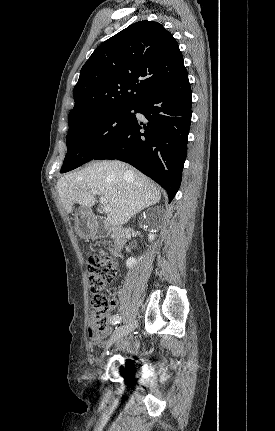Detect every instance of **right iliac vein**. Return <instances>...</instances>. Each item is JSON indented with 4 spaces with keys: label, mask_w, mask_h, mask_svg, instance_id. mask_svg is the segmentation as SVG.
Masks as SVG:
<instances>
[{
    "label": "right iliac vein",
    "mask_w": 275,
    "mask_h": 431,
    "mask_svg": "<svg viewBox=\"0 0 275 431\" xmlns=\"http://www.w3.org/2000/svg\"><path fill=\"white\" fill-rule=\"evenodd\" d=\"M137 327L136 322H132L129 325L120 326L110 337V339L106 343V350H108L116 341H118L123 336H126L130 332H132Z\"/></svg>",
    "instance_id": "1"
}]
</instances>
